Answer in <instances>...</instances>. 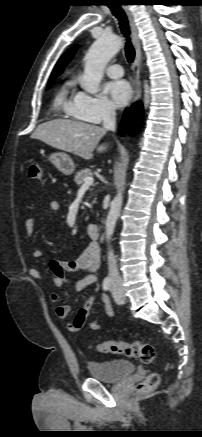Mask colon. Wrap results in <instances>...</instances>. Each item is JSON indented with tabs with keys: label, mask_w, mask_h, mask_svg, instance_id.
<instances>
[{
	"label": "colon",
	"mask_w": 202,
	"mask_h": 437,
	"mask_svg": "<svg viewBox=\"0 0 202 437\" xmlns=\"http://www.w3.org/2000/svg\"><path fill=\"white\" fill-rule=\"evenodd\" d=\"M29 175L36 180L43 179V166L39 161L31 162L29 166ZM97 350L101 353L119 354L135 358L143 364H151L156 358L154 347L139 340L133 342L107 340L98 344ZM158 384V374L152 373L138 385L137 390L141 393H147L156 388Z\"/></svg>",
	"instance_id": "1"
}]
</instances>
